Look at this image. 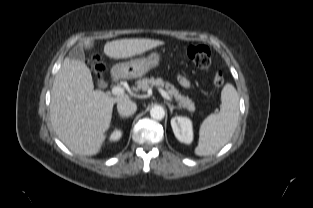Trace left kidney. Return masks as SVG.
I'll return each instance as SVG.
<instances>
[{
  "label": "left kidney",
  "mask_w": 313,
  "mask_h": 208,
  "mask_svg": "<svg viewBox=\"0 0 313 208\" xmlns=\"http://www.w3.org/2000/svg\"><path fill=\"white\" fill-rule=\"evenodd\" d=\"M175 137L182 143L190 144L193 140L192 122L187 117L175 116L171 119Z\"/></svg>",
  "instance_id": "5707ae66"
}]
</instances>
